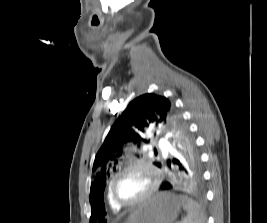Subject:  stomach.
Instances as JSON below:
<instances>
[{
	"mask_svg": "<svg viewBox=\"0 0 267 223\" xmlns=\"http://www.w3.org/2000/svg\"><path fill=\"white\" fill-rule=\"evenodd\" d=\"M181 200L170 192L157 193L143 201L126 223H174L181 210Z\"/></svg>",
	"mask_w": 267,
	"mask_h": 223,
	"instance_id": "1",
	"label": "stomach"
}]
</instances>
